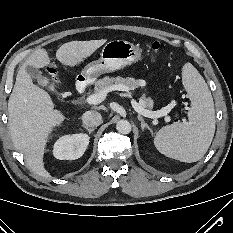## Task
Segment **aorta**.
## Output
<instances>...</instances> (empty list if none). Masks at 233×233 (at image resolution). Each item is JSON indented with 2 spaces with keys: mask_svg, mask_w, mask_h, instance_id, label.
<instances>
[{
  "mask_svg": "<svg viewBox=\"0 0 233 233\" xmlns=\"http://www.w3.org/2000/svg\"><path fill=\"white\" fill-rule=\"evenodd\" d=\"M116 129L121 134H128L131 132V124L129 121L122 119L117 122Z\"/></svg>",
  "mask_w": 233,
  "mask_h": 233,
  "instance_id": "obj_1",
  "label": "aorta"
}]
</instances>
